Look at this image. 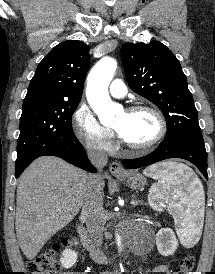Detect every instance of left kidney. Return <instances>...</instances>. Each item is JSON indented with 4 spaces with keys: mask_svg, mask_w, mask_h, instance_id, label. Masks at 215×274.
Here are the masks:
<instances>
[{
    "mask_svg": "<svg viewBox=\"0 0 215 274\" xmlns=\"http://www.w3.org/2000/svg\"><path fill=\"white\" fill-rule=\"evenodd\" d=\"M156 245L162 256L173 255L178 247V240L170 228H162L156 234Z\"/></svg>",
    "mask_w": 215,
    "mask_h": 274,
    "instance_id": "5707ae66",
    "label": "left kidney"
}]
</instances>
